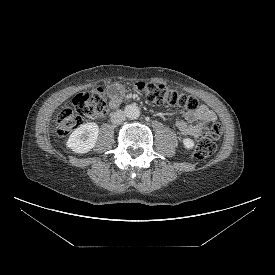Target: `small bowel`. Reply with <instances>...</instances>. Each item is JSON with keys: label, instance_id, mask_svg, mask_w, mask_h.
I'll return each mask as SVG.
<instances>
[{"label": "small bowel", "instance_id": "small-bowel-1", "mask_svg": "<svg viewBox=\"0 0 275 275\" xmlns=\"http://www.w3.org/2000/svg\"><path fill=\"white\" fill-rule=\"evenodd\" d=\"M109 93L111 105L116 106L121 99V88L119 86H113L109 89ZM215 121L216 114L206 106L201 105L196 110L188 112L185 120L176 121L175 128L182 137H197L206 124Z\"/></svg>", "mask_w": 275, "mask_h": 275}]
</instances>
